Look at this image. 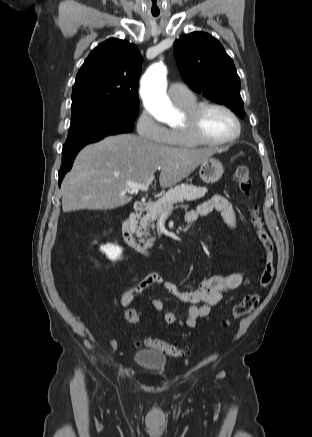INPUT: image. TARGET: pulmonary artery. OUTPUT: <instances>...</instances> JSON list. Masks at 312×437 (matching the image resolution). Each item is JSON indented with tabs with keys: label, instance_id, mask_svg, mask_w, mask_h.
<instances>
[{
	"label": "pulmonary artery",
	"instance_id": "obj_1",
	"mask_svg": "<svg viewBox=\"0 0 312 437\" xmlns=\"http://www.w3.org/2000/svg\"><path fill=\"white\" fill-rule=\"evenodd\" d=\"M168 96L173 103H183L192 98L191 91L181 83H172L168 88Z\"/></svg>",
	"mask_w": 312,
	"mask_h": 437
}]
</instances>
